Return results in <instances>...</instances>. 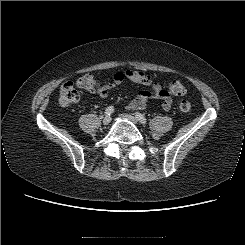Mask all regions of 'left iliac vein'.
Masks as SVG:
<instances>
[{"label": "left iliac vein", "instance_id": "4c4485c4", "mask_svg": "<svg viewBox=\"0 0 245 245\" xmlns=\"http://www.w3.org/2000/svg\"><path fill=\"white\" fill-rule=\"evenodd\" d=\"M121 116H122L123 118H125V119L131 121V122L134 123V124H137V123H138L137 119H136L134 116L130 115V114L124 113V114H121Z\"/></svg>", "mask_w": 245, "mask_h": 245}]
</instances>
